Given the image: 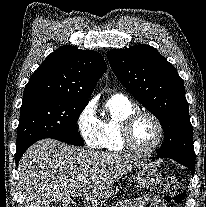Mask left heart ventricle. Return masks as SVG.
Wrapping results in <instances>:
<instances>
[{
    "label": "left heart ventricle",
    "instance_id": "left-heart-ventricle-1",
    "mask_svg": "<svg viewBox=\"0 0 206 207\" xmlns=\"http://www.w3.org/2000/svg\"><path fill=\"white\" fill-rule=\"evenodd\" d=\"M134 145L141 150L150 149L158 137V129L155 123L146 116L139 118L131 130Z\"/></svg>",
    "mask_w": 206,
    "mask_h": 207
}]
</instances>
